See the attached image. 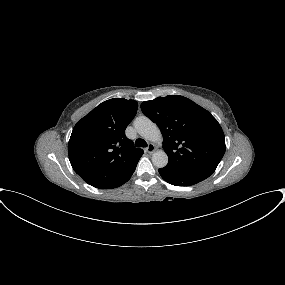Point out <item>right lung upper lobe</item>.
<instances>
[{
  "mask_svg": "<svg viewBox=\"0 0 285 285\" xmlns=\"http://www.w3.org/2000/svg\"><path fill=\"white\" fill-rule=\"evenodd\" d=\"M135 100L113 98L99 104L73 128L69 160L74 171L88 184L112 189L126 183L144 153L125 136L136 115Z\"/></svg>",
  "mask_w": 285,
  "mask_h": 285,
  "instance_id": "obj_1",
  "label": "right lung upper lobe"
}]
</instances>
